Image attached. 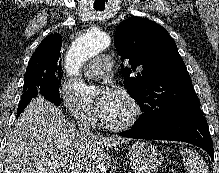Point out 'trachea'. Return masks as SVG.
Instances as JSON below:
<instances>
[{
	"mask_svg": "<svg viewBox=\"0 0 219 173\" xmlns=\"http://www.w3.org/2000/svg\"><path fill=\"white\" fill-rule=\"evenodd\" d=\"M96 10L102 11L104 10V7H95Z\"/></svg>",
	"mask_w": 219,
	"mask_h": 173,
	"instance_id": "1",
	"label": "trachea"
}]
</instances>
